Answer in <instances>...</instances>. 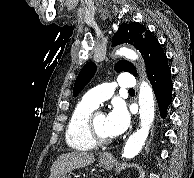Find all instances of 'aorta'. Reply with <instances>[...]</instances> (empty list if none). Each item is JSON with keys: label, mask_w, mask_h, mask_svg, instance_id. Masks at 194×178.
<instances>
[{"label": "aorta", "mask_w": 194, "mask_h": 178, "mask_svg": "<svg viewBox=\"0 0 194 178\" xmlns=\"http://www.w3.org/2000/svg\"><path fill=\"white\" fill-rule=\"evenodd\" d=\"M116 55L124 56L130 60H137L138 55L135 51L122 47L116 51ZM139 114L140 129L135 131L127 140L122 156L131 159L136 156L142 149L146 141L150 126L154 120V99L153 91L147 81H142L139 91Z\"/></svg>", "instance_id": "aorta-1"}]
</instances>
